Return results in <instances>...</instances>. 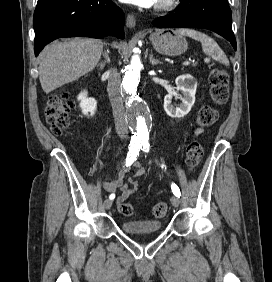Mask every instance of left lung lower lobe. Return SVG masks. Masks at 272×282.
<instances>
[{"instance_id":"obj_1","label":"left lung lower lobe","mask_w":272,"mask_h":282,"mask_svg":"<svg viewBox=\"0 0 272 282\" xmlns=\"http://www.w3.org/2000/svg\"><path fill=\"white\" fill-rule=\"evenodd\" d=\"M175 14L153 21L158 28L193 27L212 30L227 39L236 50L231 9L227 0H180Z\"/></svg>"}]
</instances>
